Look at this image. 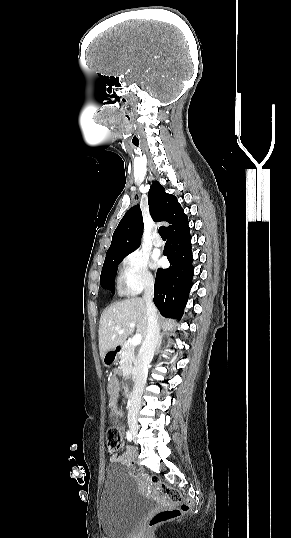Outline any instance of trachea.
<instances>
[{
  "mask_svg": "<svg viewBox=\"0 0 291 538\" xmlns=\"http://www.w3.org/2000/svg\"><path fill=\"white\" fill-rule=\"evenodd\" d=\"M159 234H160V236H161L162 239H166V229H165L164 226H161V227L159 228Z\"/></svg>",
  "mask_w": 291,
  "mask_h": 538,
  "instance_id": "1",
  "label": "trachea"
}]
</instances>
